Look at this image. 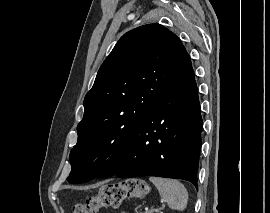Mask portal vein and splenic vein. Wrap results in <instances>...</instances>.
Masks as SVG:
<instances>
[{
	"label": "portal vein and splenic vein",
	"mask_w": 270,
	"mask_h": 213,
	"mask_svg": "<svg viewBox=\"0 0 270 213\" xmlns=\"http://www.w3.org/2000/svg\"><path fill=\"white\" fill-rule=\"evenodd\" d=\"M154 209L148 210L146 211V213H153ZM155 211H157V209H155Z\"/></svg>",
	"instance_id": "obj_1"
}]
</instances>
